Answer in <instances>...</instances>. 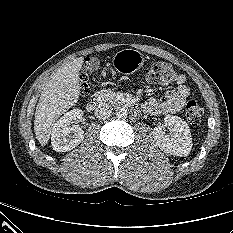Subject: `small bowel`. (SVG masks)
<instances>
[{
  "mask_svg": "<svg viewBox=\"0 0 233 233\" xmlns=\"http://www.w3.org/2000/svg\"><path fill=\"white\" fill-rule=\"evenodd\" d=\"M189 95V87L180 84L175 90L166 91L162 95L150 98L144 103L141 110L151 115L174 114L182 109Z\"/></svg>",
  "mask_w": 233,
  "mask_h": 233,
  "instance_id": "c3829d8e",
  "label": "small bowel"
}]
</instances>
